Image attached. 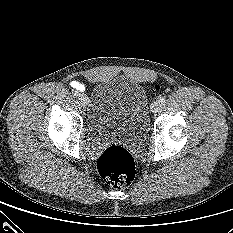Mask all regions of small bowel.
I'll return each instance as SVG.
<instances>
[{"mask_svg": "<svg viewBox=\"0 0 233 233\" xmlns=\"http://www.w3.org/2000/svg\"><path fill=\"white\" fill-rule=\"evenodd\" d=\"M72 86L78 90H81V91L84 90V85L78 81H73Z\"/></svg>", "mask_w": 233, "mask_h": 233, "instance_id": "1", "label": "small bowel"}]
</instances>
